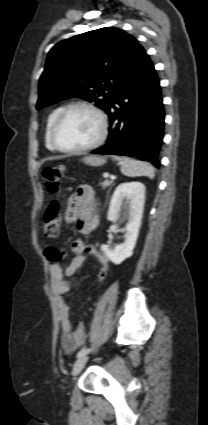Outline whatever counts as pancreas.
<instances>
[{
  "label": "pancreas",
  "mask_w": 208,
  "mask_h": 425,
  "mask_svg": "<svg viewBox=\"0 0 208 425\" xmlns=\"http://www.w3.org/2000/svg\"><path fill=\"white\" fill-rule=\"evenodd\" d=\"M112 184V181L110 180H105L103 182H100V186L105 189L106 187H109Z\"/></svg>",
  "instance_id": "obj_1"
}]
</instances>
